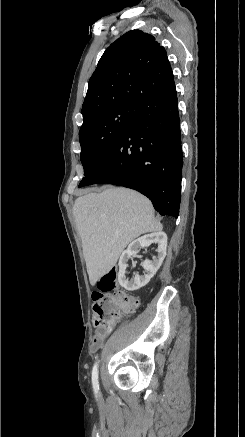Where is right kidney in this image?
<instances>
[{"mask_svg":"<svg viewBox=\"0 0 245 437\" xmlns=\"http://www.w3.org/2000/svg\"><path fill=\"white\" fill-rule=\"evenodd\" d=\"M152 243H157V255L152 257V260L145 259L142 262L144 268V274H136L134 278H126L125 271L128 266L127 262L131 256L136 254L141 247H148ZM167 249V235L164 232H154L144 235L134 241H132L127 250H125L119 259V272L118 281L119 284L128 291H135L144 287L150 279L156 274L162 262L166 256Z\"/></svg>","mask_w":245,"mask_h":437,"instance_id":"obj_1","label":"right kidney"}]
</instances>
